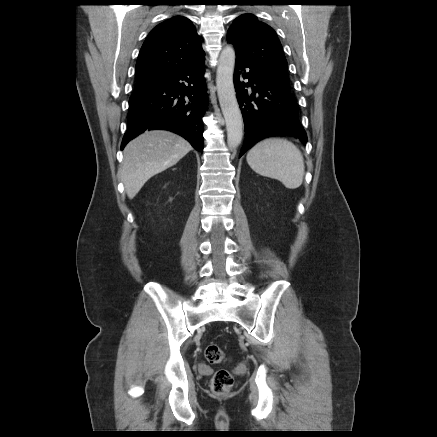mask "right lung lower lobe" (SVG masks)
<instances>
[{"mask_svg":"<svg viewBox=\"0 0 437 437\" xmlns=\"http://www.w3.org/2000/svg\"><path fill=\"white\" fill-rule=\"evenodd\" d=\"M204 58L134 91L129 99L128 127L121 149L149 129L177 133L203 151V122L207 94Z\"/></svg>","mask_w":437,"mask_h":437,"instance_id":"obj_1","label":"right lung lower lobe"}]
</instances>
